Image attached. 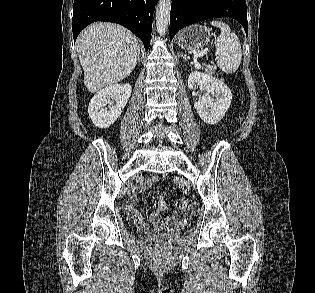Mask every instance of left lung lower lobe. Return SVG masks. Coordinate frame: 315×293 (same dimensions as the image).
<instances>
[{
  "label": "left lung lower lobe",
  "instance_id": "obj_1",
  "mask_svg": "<svg viewBox=\"0 0 315 293\" xmlns=\"http://www.w3.org/2000/svg\"><path fill=\"white\" fill-rule=\"evenodd\" d=\"M218 17L236 19L248 33L245 0H172L170 41L181 28L201 20Z\"/></svg>",
  "mask_w": 315,
  "mask_h": 293
}]
</instances>
